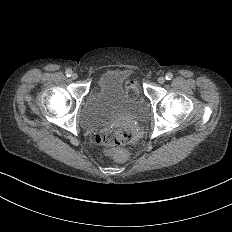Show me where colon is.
Returning <instances> with one entry per match:
<instances>
[{
    "label": "colon",
    "mask_w": 232,
    "mask_h": 232,
    "mask_svg": "<svg viewBox=\"0 0 232 232\" xmlns=\"http://www.w3.org/2000/svg\"><path fill=\"white\" fill-rule=\"evenodd\" d=\"M138 83L134 79H127L123 94L127 98H133L137 94ZM137 139V129L128 121L121 120L109 130H102L95 137V144L104 152H111L117 145L125 146Z\"/></svg>",
    "instance_id": "1"
}]
</instances>
